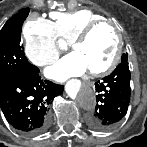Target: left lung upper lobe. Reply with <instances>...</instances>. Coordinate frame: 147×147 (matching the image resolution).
Here are the masks:
<instances>
[{"label": "left lung upper lobe", "instance_id": "1", "mask_svg": "<svg viewBox=\"0 0 147 147\" xmlns=\"http://www.w3.org/2000/svg\"><path fill=\"white\" fill-rule=\"evenodd\" d=\"M127 59H128L127 55L126 54H123L122 55V58H121V62L122 61H127Z\"/></svg>", "mask_w": 147, "mask_h": 147}]
</instances>
